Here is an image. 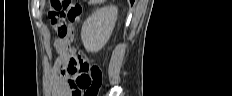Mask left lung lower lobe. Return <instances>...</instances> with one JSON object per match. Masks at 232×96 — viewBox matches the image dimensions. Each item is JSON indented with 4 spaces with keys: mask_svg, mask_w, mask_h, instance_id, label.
<instances>
[{
    "mask_svg": "<svg viewBox=\"0 0 232 96\" xmlns=\"http://www.w3.org/2000/svg\"><path fill=\"white\" fill-rule=\"evenodd\" d=\"M131 4H133L134 0H130Z\"/></svg>",
    "mask_w": 232,
    "mask_h": 96,
    "instance_id": "obj_1",
    "label": "left lung lower lobe"
}]
</instances>
